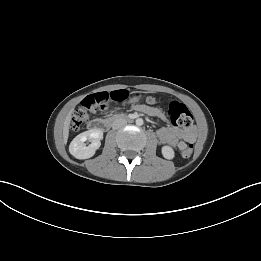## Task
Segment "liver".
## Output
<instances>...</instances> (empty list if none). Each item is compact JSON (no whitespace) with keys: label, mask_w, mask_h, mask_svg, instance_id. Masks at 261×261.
<instances>
[{"label":"liver","mask_w":261,"mask_h":261,"mask_svg":"<svg viewBox=\"0 0 261 261\" xmlns=\"http://www.w3.org/2000/svg\"><path fill=\"white\" fill-rule=\"evenodd\" d=\"M71 114H72V110L66 116L65 121H64V125H63V141H64V143L67 142L68 136H69V126H70L71 118H72Z\"/></svg>","instance_id":"6515ba94"}]
</instances>
